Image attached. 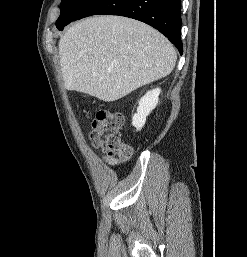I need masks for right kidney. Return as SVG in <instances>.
<instances>
[{"instance_id":"1","label":"right kidney","mask_w":247,"mask_h":257,"mask_svg":"<svg viewBox=\"0 0 247 257\" xmlns=\"http://www.w3.org/2000/svg\"><path fill=\"white\" fill-rule=\"evenodd\" d=\"M160 88H155L148 91L139 101L137 113L132 117V125L138 130H141L146 122V117L156 107L159 100Z\"/></svg>"}]
</instances>
